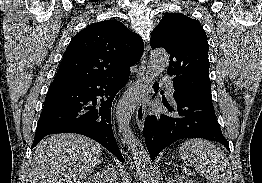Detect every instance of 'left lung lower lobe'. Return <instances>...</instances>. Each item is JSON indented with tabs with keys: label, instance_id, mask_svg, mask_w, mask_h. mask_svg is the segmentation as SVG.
<instances>
[{
	"label": "left lung lower lobe",
	"instance_id": "obj_1",
	"mask_svg": "<svg viewBox=\"0 0 262 183\" xmlns=\"http://www.w3.org/2000/svg\"><path fill=\"white\" fill-rule=\"evenodd\" d=\"M153 87L158 92V84ZM174 90V106L164 104L171 114L149 116L145 120L143 135L152 161L165 147L183 138L216 141L229 150L228 141L216 120L211 98L186 95Z\"/></svg>",
	"mask_w": 262,
	"mask_h": 183
}]
</instances>
